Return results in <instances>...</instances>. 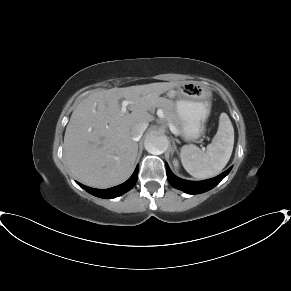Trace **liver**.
I'll return each instance as SVG.
<instances>
[{"label": "liver", "mask_w": 291, "mask_h": 291, "mask_svg": "<svg viewBox=\"0 0 291 291\" xmlns=\"http://www.w3.org/2000/svg\"><path fill=\"white\" fill-rule=\"evenodd\" d=\"M176 82L96 91L73 111L64 136V157L74 177L96 188L126 181L133 172L138 144L131 129L153 120L149 111ZM132 101L121 113L120 99Z\"/></svg>", "instance_id": "liver-1"}]
</instances>
